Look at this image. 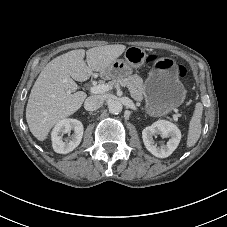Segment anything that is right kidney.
Segmentation results:
<instances>
[{
  "mask_svg": "<svg viewBox=\"0 0 227 227\" xmlns=\"http://www.w3.org/2000/svg\"><path fill=\"white\" fill-rule=\"evenodd\" d=\"M74 131L71 138H63L64 134ZM83 125L76 119H63L57 123L51 133L52 146L55 152L67 154L73 151L81 142Z\"/></svg>",
  "mask_w": 227,
  "mask_h": 227,
  "instance_id": "obj_1",
  "label": "right kidney"
}]
</instances>
